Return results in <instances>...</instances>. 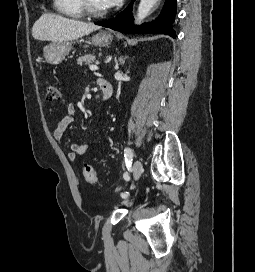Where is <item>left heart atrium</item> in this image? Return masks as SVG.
Segmentation results:
<instances>
[{
	"instance_id": "39dd6f15",
	"label": "left heart atrium",
	"mask_w": 255,
	"mask_h": 272,
	"mask_svg": "<svg viewBox=\"0 0 255 272\" xmlns=\"http://www.w3.org/2000/svg\"><path fill=\"white\" fill-rule=\"evenodd\" d=\"M122 0H102L106 8H111L118 5Z\"/></svg>"
}]
</instances>
